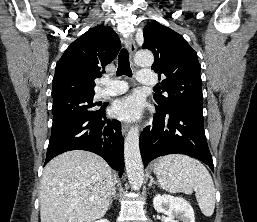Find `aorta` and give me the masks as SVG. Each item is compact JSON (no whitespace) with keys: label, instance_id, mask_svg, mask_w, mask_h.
I'll list each match as a JSON object with an SVG mask.
<instances>
[{"label":"aorta","instance_id":"762f6f07","mask_svg":"<svg viewBox=\"0 0 257 222\" xmlns=\"http://www.w3.org/2000/svg\"><path fill=\"white\" fill-rule=\"evenodd\" d=\"M154 62L151 51L140 50L135 55V63L141 67H150ZM124 160L130 186L138 190L143 183L144 171L143 162L139 149V128L132 127L124 142Z\"/></svg>","mask_w":257,"mask_h":222}]
</instances>
